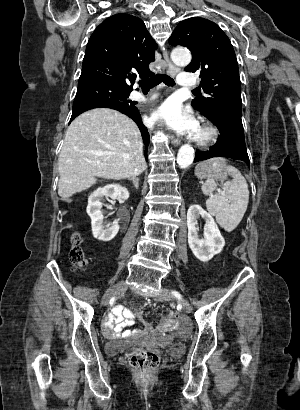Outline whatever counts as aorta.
I'll return each mask as SVG.
<instances>
[{
  "label": "aorta",
  "instance_id": "obj_1",
  "mask_svg": "<svg viewBox=\"0 0 300 410\" xmlns=\"http://www.w3.org/2000/svg\"><path fill=\"white\" fill-rule=\"evenodd\" d=\"M172 61L178 66H187L191 62V53L184 48H176L171 53ZM194 160V149L190 145H183L177 154V164L180 168H186Z\"/></svg>",
  "mask_w": 300,
  "mask_h": 410
}]
</instances>
